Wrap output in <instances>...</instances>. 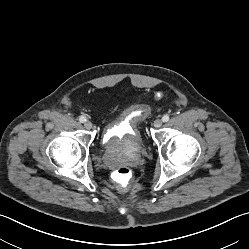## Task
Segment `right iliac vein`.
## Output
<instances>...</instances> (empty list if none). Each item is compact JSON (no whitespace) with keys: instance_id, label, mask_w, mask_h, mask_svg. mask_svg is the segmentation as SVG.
<instances>
[{"instance_id":"63e3f726","label":"right iliac vein","mask_w":249,"mask_h":249,"mask_svg":"<svg viewBox=\"0 0 249 249\" xmlns=\"http://www.w3.org/2000/svg\"><path fill=\"white\" fill-rule=\"evenodd\" d=\"M84 127H85L86 129L90 130V129L93 127V124H92L91 121H86V122L84 123Z\"/></svg>"}]
</instances>
